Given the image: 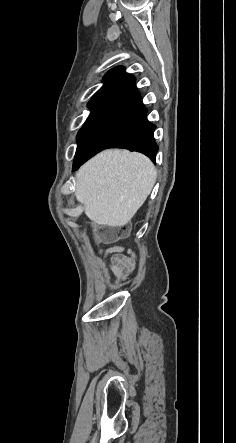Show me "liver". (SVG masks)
<instances>
[{
    "mask_svg": "<svg viewBox=\"0 0 236 443\" xmlns=\"http://www.w3.org/2000/svg\"><path fill=\"white\" fill-rule=\"evenodd\" d=\"M157 170L149 158L127 150H105L76 173V199L93 222L124 226L150 194Z\"/></svg>",
    "mask_w": 236,
    "mask_h": 443,
    "instance_id": "6515ba94",
    "label": "liver"
}]
</instances>
